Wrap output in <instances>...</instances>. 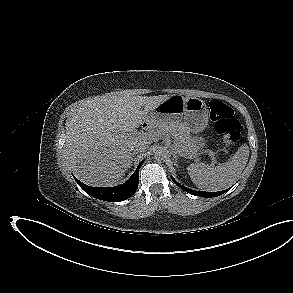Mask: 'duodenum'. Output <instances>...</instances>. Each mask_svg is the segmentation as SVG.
Instances as JSON below:
<instances>
[{
    "label": "duodenum",
    "mask_w": 293,
    "mask_h": 293,
    "mask_svg": "<svg viewBox=\"0 0 293 293\" xmlns=\"http://www.w3.org/2000/svg\"><path fill=\"white\" fill-rule=\"evenodd\" d=\"M147 126V123H143V128H146Z\"/></svg>",
    "instance_id": "duodenum-1"
}]
</instances>
